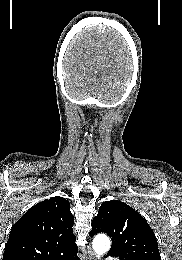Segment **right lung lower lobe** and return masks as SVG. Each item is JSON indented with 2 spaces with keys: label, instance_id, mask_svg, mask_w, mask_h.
Masks as SVG:
<instances>
[{
  "label": "right lung lower lobe",
  "instance_id": "1",
  "mask_svg": "<svg viewBox=\"0 0 182 260\" xmlns=\"http://www.w3.org/2000/svg\"><path fill=\"white\" fill-rule=\"evenodd\" d=\"M53 260H80L77 256V251L68 253L66 255H63L61 257L55 258Z\"/></svg>",
  "mask_w": 182,
  "mask_h": 260
}]
</instances>
